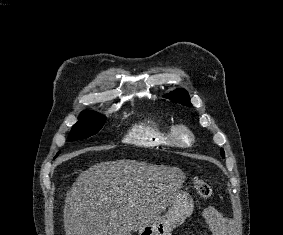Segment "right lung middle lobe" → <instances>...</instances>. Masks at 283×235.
<instances>
[{"instance_id":"1","label":"right lung middle lobe","mask_w":283,"mask_h":235,"mask_svg":"<svg viewBox=\"0 0 283 235\" xmlns=\"http://www.w3.org/2000/svg\"><path fill=\"white\" fill-rule=\"evenodd\" d=\"M105 122V117L90 111L81 113L80 120L74 124L70 133V139L78 140L88 138L98 133Z\"/></svg>"}]
</instances>
